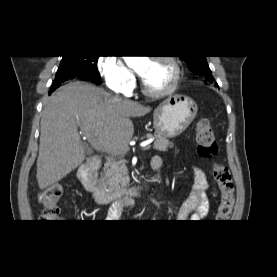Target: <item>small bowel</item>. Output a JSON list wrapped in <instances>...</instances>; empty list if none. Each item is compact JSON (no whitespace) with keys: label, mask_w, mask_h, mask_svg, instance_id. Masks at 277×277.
<instances>
[{"label":"small bowel","mask_w":277,"mask_h":277,"mask_svg":"<svg viewBox=\"0 0 277 277\" xmlns=\"http://www.w3.org/2000/svg\"><path fill=\"white\" fill-rule=\"evenodd\" d=\"M151 168L160 170L162 160L154 157L151 160ZM208 180L204 171L198 167L194 168V182L191 191L178 212L180 220H200L204 218L209 210V201L207 198ZM123 210V204L119 203L111 208L110 219L118 218Z\"/></svg>","instance_id":"c3829d8e"}]
</instances>
